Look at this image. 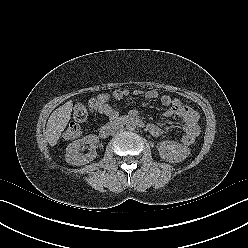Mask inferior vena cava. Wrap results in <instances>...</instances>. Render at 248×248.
<instances>
[{
	"label": "inferior vena cava",
	"mask_w": 248,
	"mask_h": 248,
	"mask_svg": "<svg viewBox=\"0 0 248 248\" xmlns=\"http://www.w3.org/2000/svg\"><path fill=\"white\" fill-rule=\"evenodd\" d=\"M122 129H123L122 126H118V127L115 128V131H121Z\"/></svg>",
	"instance_id": "inferior-vena-cava-1"
}]
</instances>
